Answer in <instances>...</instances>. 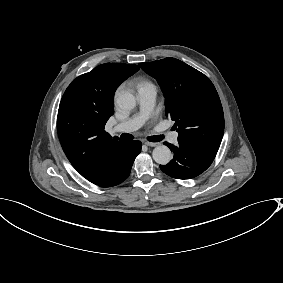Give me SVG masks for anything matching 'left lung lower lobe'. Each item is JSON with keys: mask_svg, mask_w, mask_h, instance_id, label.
Instances as JSON below:
<instances>
[{"mask_svg": "<svg viewBox=\"0 0 283 283\" xmlns=\"http://www.w3.org/2000/svg\"><path fill=\"white\" fill-rule=\"evenodd\" d=\"M174 146L164 142L174 151L173 159L166 165H160V169L170 177L176 179H191L203 173L213 162L216 153L197 148L178 141Z\"/></svg>", "mask_w": 283, "mask_h": 283, "instance_id": "left-lung-lower-lobe-1", "label": "left lung lower lobe"}]
</instances>
